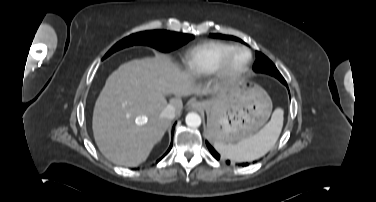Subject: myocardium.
Returning a JSON list of instances; mask_svg holds the SVG:
<instances>
[{
  "instance_id": "obj_1",
  "label": "myocardium",
  "mask_w": 376,
  "mask_h": 202,
  "mask_svg": "<svg viewBox=\"0 0 376 202\" xmlns=\"http://www.w3.org/2000/svg\"><path fill=\"white\" fill-rule=\"evenodd\" d=\"M244 53L247 56L246 61L238 68H232L231 62L238 54ZM252 60L251 52L245 47H235L222 58L216 71V78L220 83H229L238 80L248 70Z\"/></svg>"
}]
</instances>
